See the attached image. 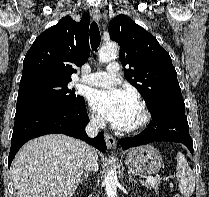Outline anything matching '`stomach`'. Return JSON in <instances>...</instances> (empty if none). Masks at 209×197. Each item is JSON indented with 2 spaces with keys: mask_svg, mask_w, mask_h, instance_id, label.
<instances>
[{
  "mask_svg": "<svg viewBox=\"0 0 209 197\" xmlns=\"http://www.w3.org/2000/svg\"><path fill=\"white\" fill-rule=\"evenodd\" d=\"M126 166L141 174H155L163 167L159 151L151 145L131 149L125 159Z\"/></svg>",
  "mask_w": 209,
  "mask_h": 197,
  "instance_id": "stomach-1",
  "label": "stomach"
}]
</instances>
